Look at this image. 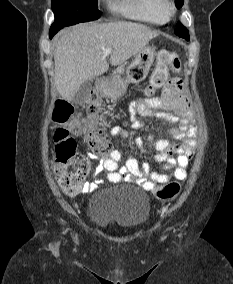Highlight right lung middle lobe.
<instances>
[{"mask_svg":"<svg viewBox=\"0 0 233 284\" xmlns=\"http://www.w3.org/2000/svg\"><path fill=\"white\" fill-rule=\"evenodd\" d=\"M98 0H52V10L55 22L50 28V34H55L61 28L80 22L97 20L100 12L97 9Z\"/></svg>","mask_w":233,"mask_h":284,"instance_id":"right-lung-middle-lobe-1","label":"right lung middle lobe"}]
</instances>
